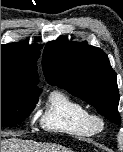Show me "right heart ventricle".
Here are the masks:
<instances>
[{
	"label": "right heart ventricle",
	"mask_w": 123,
	"mask_h": 152,
	"mask_svg": "<svg viewBox=\"0 0 123 152\" xmlns=\"http://www.w3.org/2000/svg\"><path fill=\"white\" fill-rule=\"evenodd\" d=\"M89 110L66 93L51 92L41 115L43 129L74 137H90L95 132L88 122Z\"/></svg>",
	"instance_id": "obj_1"
}]
</instances>
